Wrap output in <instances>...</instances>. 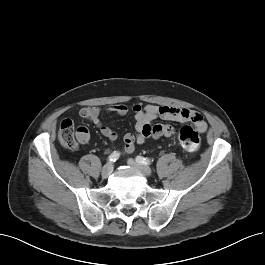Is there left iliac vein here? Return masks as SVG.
Here are the masks:
<instances>
[{
    "label": "left iliac vein",
    "mask_w": 265,
    "mask_h": 265,
    "mask_svg": "<svg viewBox=\"0 0 265 265\" xmlns=\"http://www.w3.org/2000/svg\"><path fill=\"white\" fill-rule=\"evenodd\" d=\"M127 162H128V164H129L131 167H133V168L139 170L143 175H145V176H147V177L152 176L153 173H152V170H151L150 167L140 165V164H138V163H137L135 160H133V159H128Z\"/></svg>",
    "instance_id": "4c4485c4"
}]
</instances>
